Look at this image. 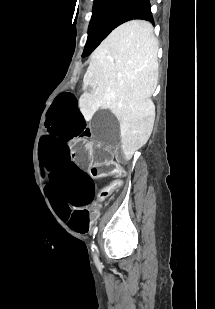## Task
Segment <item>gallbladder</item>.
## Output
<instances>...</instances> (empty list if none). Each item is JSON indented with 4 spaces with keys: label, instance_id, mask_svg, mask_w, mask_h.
<instances>
[{
    "label": "gallbladder",
    "instance_id": "gallbladder-1",
    "mask_svg": "<svg viewBox=\"0 0 215 309\" xmlns=\"http://www.w3.org/2000/svg\"><path fill=\"white\" fill-rule=\"evenodd\" d=\"M88 90L91 92V86H88ZM91 131L94 132V136L100 140V144H103L104 148H119L118 121L116 116L106 109H99L97 113L93 114Z\"/></svg>",
    "mask_w": 215,
    "mask_h": 309
}]
</instances>
